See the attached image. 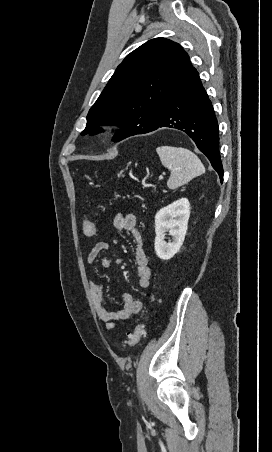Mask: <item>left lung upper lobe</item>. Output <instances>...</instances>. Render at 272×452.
I'll return each mask as SVG.
<instances>
[{
    "label": "left lung upper lobe",
    "instance_id": "left-lung-upper-lobe-1",
    "mask_svg": "<svg viewBox=\"0 0 272 452\" xmlns=\"http://www.w3.org/2000/svg\"><path fill=\"white\" fill-rule=\"evenodd\" d=\"M189 56L178 44L154 38L131 52L117 67L87 115L81 135L98 133L102 125L122 127L115 142L156 123L161 109L188 74Z\"/></svg>",
    "mask_w": 272,
    "mask_h": 452
}]
</instances>
